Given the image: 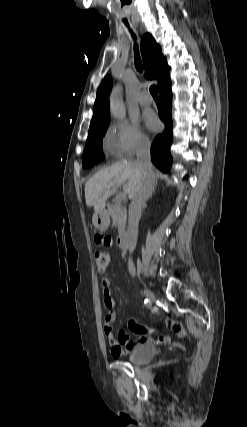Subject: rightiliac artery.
Returning a JSON list of instances; mask_svg holds the SVG:
<instances>
[{
	"label": "right iliac artery",
	"mask_w": 247,
	"mask_h": 427,
	"mask_svg": "<svg viewBox=\"0 0 247 427\" xmlns=\"http://www.w3.org/2000/svg\"><path fill=\"white\" fill-rule=\"evenodd\" d=\"M144 304H145L146 307H150V305H151L150 301L148 299L144 300Z\"/></svg>",
	"instance_id": "1"
}]
</instances>
